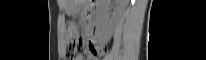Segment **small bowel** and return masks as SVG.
Returning a JSON list of instances; mask_svg holds the SVG:
<instances>
[{
	"mask_svg": "<svg viewBox=\"0 0 206 60\" xmlns=\"http://www.w3.org/2000/svg\"><path fill=\"white\" fill-rule=\"evenodd\" d=\"M88 53L90 59H93L96 57L98 53V46H97V41L94 37H91L89 42H88ZM75 60H83L81 56H78Z\"/></svg>",
	"mask_w": 206,
	"mask_h": 60,
	"instance_id": "obj_1",
	"label": "small bowel"
}]
</instances>
